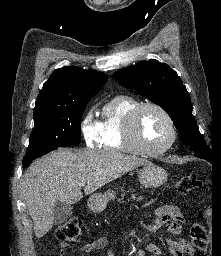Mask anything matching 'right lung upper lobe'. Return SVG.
I'll list each match as a JSON object with an SVG mask.
<instances>
[{
    "label": "right lung upper lobe",
    "mask_w": 221,
    "mask_h": 256,
    "mask_svg": "<svg viewBox=\"0 0 221 256\" xmlns=\"http://www.w3.org/2000/svg\"><path fill=\"white\" fill-rule=\"evenodd\" d=\"M107 75L76 66H64L53 71L43 85L34 111L74 107L90 99L106 82Z\"/></svg>",
    "instance_id": "right-lung-upper-lobe-1"
}]
</instances>
